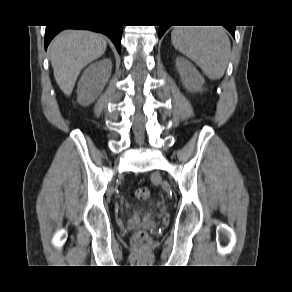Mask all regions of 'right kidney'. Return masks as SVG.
<instances>
[{"label":"right kidney","mask_w":292,"mask_h":292,"mask_svg":"<svg viewBox=\"0 0 292 292\" xmlns=\"http://www.w3.org/2000/svg\"><path fill=\"white\" fill-rule=\"evenodd\" d=\"M111 59H101L89 65L83 72L77 88V101L89 105L104 89L111 76Z\"/></svg>","instance_id":"1"}]
</instances>
